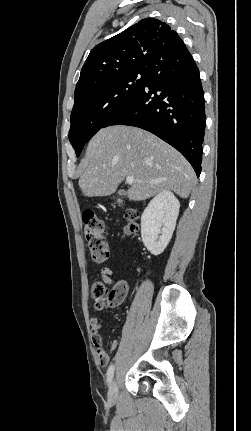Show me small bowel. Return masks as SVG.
Instances as JSON below:
<instances>
[{
  "instance_id": "c3829d8e",
  "label": "small bowel",
  "mask_w": 251,
  "mask_h": 431,
  "mask_svg": "<svg viewBox=\"0 0 251 431\" xmlns=\"http://www.w3.org/2000/svg\"><path fill=\"white\" fill-rule=\"evenodd\" d=\"M113 271L109 267H104L101 270V277L104 283L113 285L114 280L112 278ZM103 305L96 304V310L102 311ZM107 315L104 314L103 316L99 317L96 314H93L90 319V326L92 330V340L93 344L97 350L96 356L99 358L97 362L98 369H107L108 367V361L110 360L109 350L107 348H103V340L99 333V330L101 328L100 320L106 321ZM111 349V348H110ZM112 351V350H111Z\"/></svg>"
}]
</instances>
